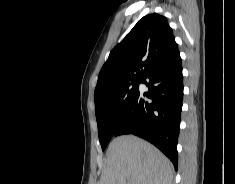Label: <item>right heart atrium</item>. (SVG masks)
I'll return each mask as SVG.
<instances>
[{"label": "right heart atrium", "instance_id": "d8ad5b80", "mask_svg": "<svg viewBox=\"0 0 235 184\" xmlns=\"http://www.w3.org/2000/svg\"><path fill=\"white\" fill-rule=\"evenodd\" d=\"M117 121H118V122H121V121H122V117H121V116H118V117H117Z\"/></svg>", "mask_w": 235, "mask_h": 184}]
</instances>
